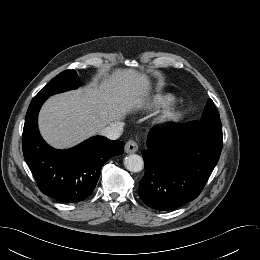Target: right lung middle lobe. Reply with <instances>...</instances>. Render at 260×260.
<instances>
[{
  "label": "right lung middle lobe",
  "mask_w": 260,
  "mask_h": 260,
  "mask_svg": "<svg viewBox=\"0 0 260 260\" xmlns=\"http://www.w3.org/2000/svg\"><path fill=\"white\" fill-rule=\"evenodd\" d=\"M79 86V78L75 70H66L54 77L37 96H50L56 93L76 89Z\"/></svg>",
  "instance_id": "obj_1"
}]
</instances>
